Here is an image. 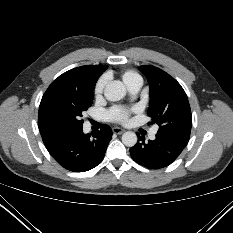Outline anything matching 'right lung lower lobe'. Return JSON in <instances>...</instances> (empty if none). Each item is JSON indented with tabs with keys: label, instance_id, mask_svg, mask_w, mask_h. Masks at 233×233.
Instances as JSON below:
<instances>
[{
	"label": "right lung lower lobe",
	"instance_id": "obj_1",
	"mask_svg": "<svg viewBox=\"0 0 233 233\" xmlns=\"http://www.w3.org/2000/svg\"><path fill=\"white\" fill-rule=\"evenodd\" d=\"M112 130L102 125L94 134H84L82 127L57 133L43 141L51 156L65 169L74 172L88 171L104 158Z\"/></svg>",
	"mask_w": 233,
	"mask_h": 233
}]
</instances>
